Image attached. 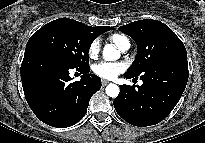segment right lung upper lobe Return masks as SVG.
I'll list each match as a JSON object with an SVG mask.
<instances>
[{
  "label": "right lung upper lobe",
  "instance_id": "1",
  "mask_svg": "<svg viewBox=\"0 0 205 143\" xmlns=\"http://www.w3.org/2000/svg\"><path fill=\"white\" fill-rule=\"evenodd\" d=\"M87 28L95 37L99 36L100 34L106 31L113 29V27H109V26H98V27L87 26Z\"/></svg>",
  "mask_w": 205,
  "mask_h": 143
}]
</instances>
